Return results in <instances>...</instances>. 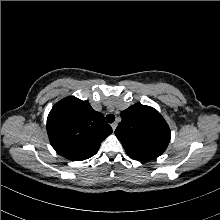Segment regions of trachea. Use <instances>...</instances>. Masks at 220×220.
Returning a JSON list of instances; mask_svg holds the SVG:
<instances>
[{"label": "trachea", "mask_w": 220, "mask_h": 220, "mask_svg": "<svg viewBox=\"0 0 220 220\" xmlns=\"http://www.w3.org/2000/svg\"><path fill=\"white\" fill-rule=\"evenodd\" d=\"M106 121H107L108 123H113V122L115 121V116H114L113 114H108V115L106 116Z\"/></svg>", "instance_id": "3493384b"}]
</instances>
